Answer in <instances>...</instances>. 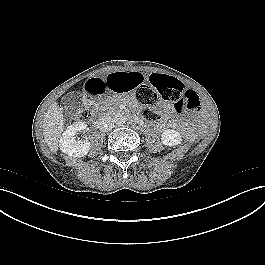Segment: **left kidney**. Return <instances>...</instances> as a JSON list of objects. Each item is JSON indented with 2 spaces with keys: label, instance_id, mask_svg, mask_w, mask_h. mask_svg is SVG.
I'll list each match as a JSON object with an SVG mask.
<instances>
[{
  "label": "left kidney",
  "instance_id": "left-kidney-1",
  "mask_svg": "<svg viewBox=\"0 0 265 265\" xmlns=\"http://www.w3.org/2000/svg\"><path fill=\"white\" fill-rule=\"evenodd\" d=\"M161 140L165 146L171 147V146L180 144L182 141V138L179 132L173 129H167L162 133Z\"/></svg>",
  "mask_w": 265,
  "mask_h": 265
}]
</instances>
